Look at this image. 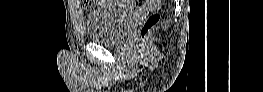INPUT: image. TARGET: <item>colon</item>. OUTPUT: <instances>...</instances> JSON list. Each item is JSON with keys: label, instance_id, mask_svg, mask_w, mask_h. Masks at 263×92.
<instances>
[{"label": "colon", "instance_id": "1", "mask_svg": "<svg viewBox=\"0 0 263 92\" xmlns=\"http://www.w3.org/2000/svg\"><path fill=\"white\" fill-rule=\"evenodd\" d=\"M136 5H139L140 3H135ZM160 20V14L157 12L151 13L147 19L145 20L144 24L142 25L140 35L142 39V43L140 46V50L144 51L146 46V37L149 34V32L152 30V28L159 22Z\"/></svg>", "mask_w": 263, "mask_h": 92}]
</instances>
